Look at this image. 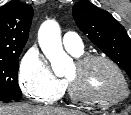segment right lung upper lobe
Returning <instances> with one entry per match:
<instances>
[{"label":"right lung upper lobe","instance_id":"1","mask_svg":"<svg viewBox=\"0 0 131 115\" xmlns=\"http://www.w3.org/2000/svg\"><path fill=\"white\" fill-rule=\"evenodd\" d=\"M33 18V8L19 1L0 7V57L22 51Z\"/></svg>","mask_w":131,"mask_h":115}]
</instances>
